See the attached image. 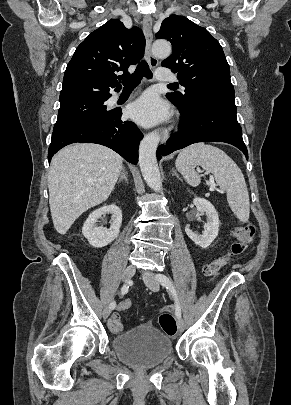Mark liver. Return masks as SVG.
Listing matches in <instances>:
<instances>
[{
    "label": "liver",
    "mask_w": 291,
    "mask_h": 405,
    "mask_svg": "<svg viewBox=\"0 0 291 405\" xmlns=\"http://www.w3.org/2000/svg\"><path fill=\"white\" fill-rule=\"evenodd\" d=\"M122 164L116 152L92 143L66 146L53 157L48 175L49 204L59 234H66L83 212L110 196Z\"/></svg>",
    "instance_id": "6515ba94"
}]
</instances>
